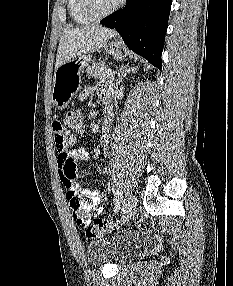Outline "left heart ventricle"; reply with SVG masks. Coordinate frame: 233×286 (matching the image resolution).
Returning a JSON list of instances; mask_svg holds the SVG:
<instances>
[{
    "instance_id": "left-heart-ventricle-1",
    "label": "left heart ventricle",
    "mask_w": 233,
    "mask_h": 286,
    "mask_svg": "<svg viewBox=\"0 0 233 286\" xmlns=\"http://www.w3.org/2000/svg\"><path fill=\"white\" fill-rule=\"evenodd\" d=\"M99 11H105L116 4L118 0H94Z\"/></svg>"
}]
</instances>
